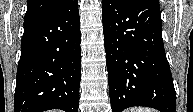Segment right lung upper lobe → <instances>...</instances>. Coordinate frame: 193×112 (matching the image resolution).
Returning a JSON list of instances; mask_svg holds the SVG:
<instances>
[{
	"label": "right lung upper lobe",
	"mask_w": 193,
	"mask_h": 112,
	"mask_svg": "<svg viewBox=\"0 0 193 112\" xmlns=\"http://www.w3.org/2000/svg\"><path fill=\"white\" fill-rule=\"evenodd\" d=\"M64 0H28L24 21L43 15L59 6Z\"/></svg>",
	"instance_id": "right-lung-upper-lobe-1"
}]
</instances>
